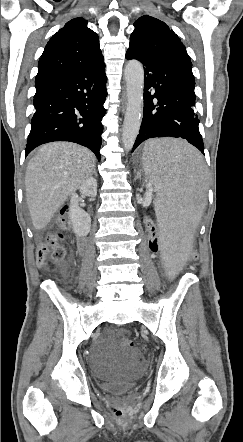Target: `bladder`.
<instances>
[{"instance_id":"bladder-1","label":"bladder","mask_w":243,"mask_h":442,"mask_svg":"<svg viewBox=\"0 0 243 442\" xmlns=\"http://www.w3.org/2000/svg\"><path fill=\"white\" fill-rule=\"evenodd\" d=\"M144 365L139 357L132 353L118 355L117 368L110 372L101 383V388L110 393H124L138 382Z\"/></svg>"}]
</instances>
